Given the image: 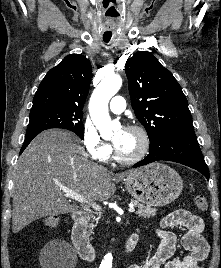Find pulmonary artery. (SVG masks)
I'll return each mask as SVG.
<instances>
[{"label":"pulmonary artery","instance_id":"obj_1","mask_svg":"<svg viewBox=\"0 0 221 268\" xmlns=\"http://www.w3.org/2000/svg\"><path fill=\"white\" fill-rule=\"evenodd\" d=\"M126 107L125 100L122 96H115L112 98L109 108L114 114H120Z\"/></svg>","mask_w":221,"mask_h":268}]
</instances>
